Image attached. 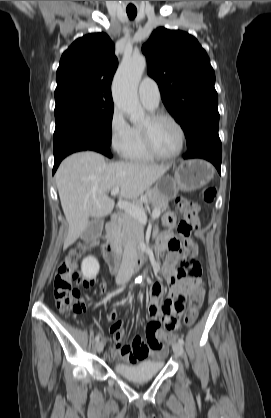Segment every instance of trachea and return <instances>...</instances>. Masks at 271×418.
I'll list each match as a JSON object with an SVG mask.
<instances>
[{
	"label": "trachea",
	"instance_id": "3493384b",
	"mask_svg": "<svg viewBox=\"0 0 271 418\" xmlns=\"http://www.w3.org/2000/svg\"><path fill=\"white\" fill-rule=\"evenodd\" d=\"M126 12L130 19H134L137 15V9H127Z\"/></svg>",
	"mask_w": 271,
	"mask_h": 418
}]
</instances>
